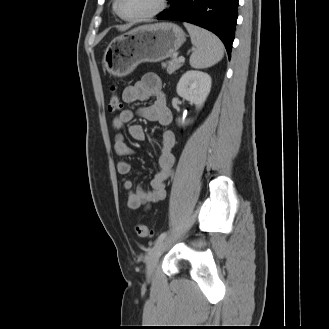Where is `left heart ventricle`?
<instances>
[{
	"label": "left heart ventricle",
	"mask_w": 329,
	"mask_h": 329,
	"mask_svg": "<svg viewBox=\"0 0 329 329\" xmlns=\"http://www.w3.org/2000/svg\"><path fill=\"white\" fill-rule=\"evenodd\" d=\"M159 0H120L119 10L123 16L135 17L153 11Z\"/></svg>",
	"instance_id": "b2bd125f"
}]
</instances>
